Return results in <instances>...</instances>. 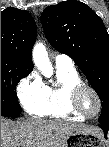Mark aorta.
Masks as SVG:
<instances>
[{"label":"aorta","instance_id":"1","mask_svg":"<svg viewBox=\"0 0 109 147\" xmlns=\"http://www.w3.org/2000/svg\"><path fill=\"white\" fill-rule=\"evenodd\" d=\"M32 59L35 66L47 78L53 74V67L49 60L46 47L43 43H36L32 52Z\"/></svg>","mask_w":109,"mask_h":147}]
</instances>
